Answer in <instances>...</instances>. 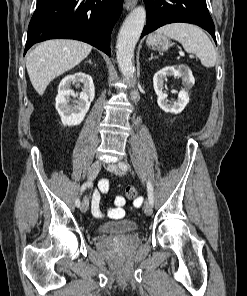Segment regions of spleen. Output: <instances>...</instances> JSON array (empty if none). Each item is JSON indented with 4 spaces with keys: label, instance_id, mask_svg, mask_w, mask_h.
Segmentation results:
<instances>
[{
    "label": "spleen",
    "instance_id": "3e777b00",
    "mask_svg": "<svg viewBox=\"0 0 247 296\" xmlns=\"http://www.w3.org/2000/svg\"><path fill=\"white\" fill-rule=\"evenodd\" d=\"M157 34H163L179 41L186 52L199 57L203 66L214 67L217 61L216 50L204 31L196 25L172 23L159 28Z\"/></svg>",
    "mask_w": 247,
    "mask_h": 296
}]
</instances>
